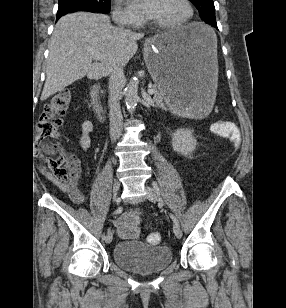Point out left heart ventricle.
<instances>
[{
    "label": "left heart ventricle",
    "instance_id": "left-heart-ventricle-1",
    "mask_svg": "<svg viewBox=\"0 0 286 308\" xmlns=\"http://www.w3.org/2000/svg\"><path fill=\"white\" fill-rule=\"evenodd\" d=\"M188 14L182 0H157L152 20L163 23H175L183 20Z\"/></svg>",
    "mask_w": 286,
    "mask_h": 308
}]
</instances>
